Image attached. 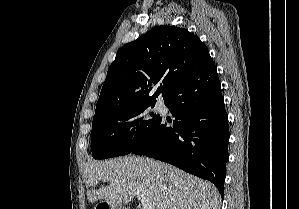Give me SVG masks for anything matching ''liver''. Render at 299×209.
Returning <instances> with one entry per match:
<instances>
[{
  "instance_id": "1",
  "label": "liver",
  "mask_w": 299,
  "mask_h": 209,
  "mask_svg": "<svg viewBox=\"0 0 299 209\" xmlns=\"http://www.w3.org/2000/svg\"><path fill=\"white\" fill-rule=\"evenodd\" d=\"M110 185L95 190L100 182ZM88 201L122 207L144 195L154 209H220L217 188L174 166L145 157L127 156L85 166Z\"/></svg>"
}]
</instances>
